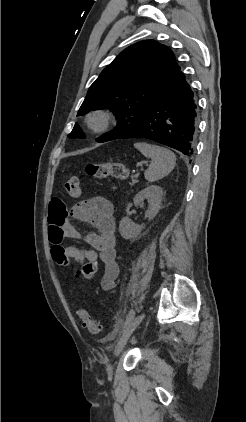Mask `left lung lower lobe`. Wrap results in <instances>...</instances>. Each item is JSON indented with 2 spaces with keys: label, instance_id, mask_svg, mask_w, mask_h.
<instances>
[{
  "label": "left lung lower lobe",
  "instance_id": "0a47b994",
  "mask_svg": "<svg viewBox=\"0 0 246 422\" xmlns=\"http://www.w3.org/2000/svg\"><path fill=\"white\" fill-rule=\"evenodd\" d=\"M197 116L193 91L179 70L139 121L117 139L148 138L191 157L195 148Z\"/></svg>",
  "mask_w": 246,
  "mask_h": 422
}]
</instances>
